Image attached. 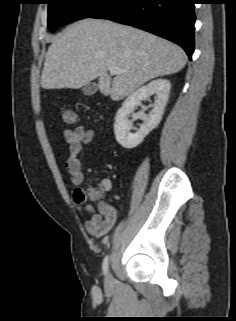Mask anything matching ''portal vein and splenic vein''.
<instances>
[{"label": "portal vein and splenic vein", "mask_w": 236, "mask_h": 321, "mask_svg": "<svg viewBox=\"0 0 236 321\" xmlns=\"http://www.w3.org/2000/svg\"><path fill=\"white\" fill-rule=\"evenodd\" d=\"M108 70L111 75H118L123 72V70L118 67H110Z\"/></svg>", "instance_id": "1"}]
</instances>
